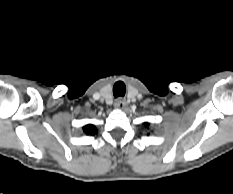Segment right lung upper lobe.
I'll list each match as a JSON object with an SVG mask.
<instances>
[{"instance_id": "cb5924a9", "label": "right lung upper lobe", "mask_w": 233, "mask_h": 194, "mask_svg": "<svg viewBox=\"0 0 233 194\" xmlns=\"http://www.w3.org/2000/svg\"><path fill=\"white\" fill-rule=\"evenodd\" d=\"M83 130L86 134L88 135H95L97 132V129L95 128L94 125L92 124H88L86 126L83 127Z\"/></svg>"}]
</instances>
